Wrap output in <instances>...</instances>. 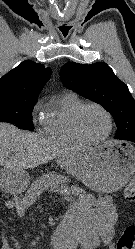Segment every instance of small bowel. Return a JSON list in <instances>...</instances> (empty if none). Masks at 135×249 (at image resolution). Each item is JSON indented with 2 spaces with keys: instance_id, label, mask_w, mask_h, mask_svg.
<instances>
[{
  "instance_id": "small-bowel-1",
  "label": "small bowel",
  "mask_w": 135,
  "mask_h": 249,
  "mask_svg": "<svg viewBox=\"0 0 135 249\" xmlns=\"http://www.w3.org/2000/svg\"><path fill=\"white\" fill-rule=\"evenodd\" d=\"M7 209L15 210L19 218H23L26 213V204L18 198L7 199L4 203ZM98 210H84L83 214L87 221L91 246L102 243L112 249L114 226L118 219V213L112 198L101 196L96 199ZM1 249H12L7 238H3Z\"/></svg>"
}]
</instances>
